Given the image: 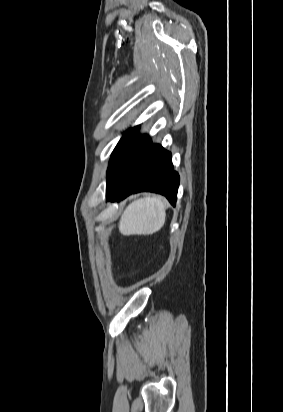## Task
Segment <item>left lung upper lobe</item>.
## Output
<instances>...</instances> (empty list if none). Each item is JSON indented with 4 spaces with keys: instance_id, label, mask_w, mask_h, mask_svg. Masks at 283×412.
I'll use <instances>...</instances> for the list:
<instances>
[{
    "instance_id": "1",
    "label": "left lung upper lobe",
    "mask_w": 283,
    "mask_h": 412,
    "mask_svg": "<svg viewBox=\"0 0 283 412\" xmlns=\"http://www.w3.org/2000/svg\"><path fill=\"white\" fill-rule=\"evenodd\" d=\"M138 130L136 126L125 132L112 153L110 162L115 165L121 181L128 179L151 145L150 138L139 135Z\"/></svg>"
}]
</instances>
